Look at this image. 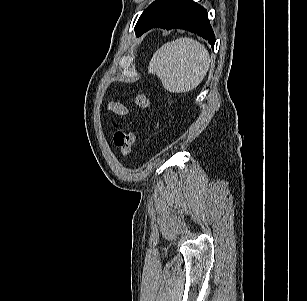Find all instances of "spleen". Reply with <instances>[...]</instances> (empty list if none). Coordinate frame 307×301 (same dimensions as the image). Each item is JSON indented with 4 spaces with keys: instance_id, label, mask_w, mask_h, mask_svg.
Segmentation results:
<instances>
[{
    "instance_id": "3e777b00",
    "label": "spleen",
    "mask_w": 307,
    "mask_h": 301,
    "mask_svg": "<svg viewBox=\"0 0 307 301\" xmlns=\"http://www.w3.org/2000/svg\"><path fill=\"white\" fill-rule=\"evenodd\" d=\"M210 65L208 50L192 38L181 37L162 45L153 55L148 72L156 74L171 93H185L196 88Z\"/></svg>"
}]
</instances>
